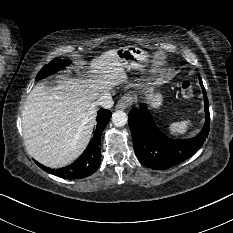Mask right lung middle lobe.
Instances as JSON below:
<instances>
[{
  "instance_id": "right-lung-middle-lobe-1",
  "label": "right lung middle lobe",
  "mask_w": 233,
  "mask_h": 233,
  "mask_svg": "<svg viewBox=\"0 0 233 233\" xmlns=\"http://www.w3.org/2000/svg\"><path fill=\"white\" fill-rule=\"evenodd\" d=\"M67 64V61L53 60L49 64L45 65L40 72L38 73L36 80H39L43 77L53 74L54 72L62 69Z\"/></svg>"
}]
</instances>
